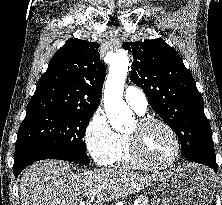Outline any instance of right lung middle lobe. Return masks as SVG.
I'll use <instances>...</instances> for the list:
<instances>
[{"label": "right lung middle lobe", "instance_id": "obj_1", "mask_svg": "<svg viewBox=\"0 0 222 205\" xmlns=\"http://www.w3.org/2000/svg\"><path fill=\"white\" fill-rule=\"evenodd\" d=\"M94 111L50 110L26 114L20 125L15 151L44 147L63 154L67 160L86 165L83 137Z\"/></svg>", "mask_w": 222, "mask_h": 205}]
</instances>
